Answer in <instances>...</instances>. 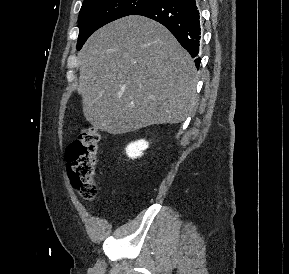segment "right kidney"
<instances>
[{"mask_svg":"<svg viewBox=\"0 0 289 274\" xmlns=\"http://www.w3.org/2000/svg\"><path fill=\"white\" fill-rule=\"evenodd\" d=\"M149 147V143L144 139L130 143L126 147V154L129 158L135 159L143 155V151Z\"/></svg>","mask_w":289,"mask_h":274,"instance_id":"right-kidney-1","label":"right kidney"}]
</instances>
